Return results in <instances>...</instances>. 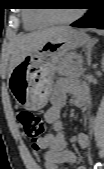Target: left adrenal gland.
<instances>
[{"mask_svg": "<svg viewBox=\"0 0 104 169\" xmlns=\"http://www.w3.org/2000/svg\"><path fill=\"white\" fill-rule=\"evenodd\" d=\"M97 39H93L90 43L86 45V56H87V64L88 66L91 65V51L92 47L97 43Z\"/></svg>", "mask_w": 104, "mask_h": 169, "instance_id": "a2214340", "label": "left adrenal gland"}]
</instances>
